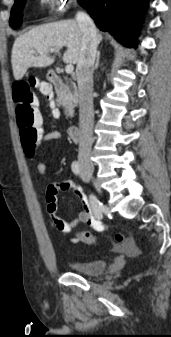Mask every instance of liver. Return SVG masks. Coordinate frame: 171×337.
I'll return each mask as SVG.
<instances>
[{
	"mask_svg": "<svg viewBox=\"0 0 171 337\" xmlns=\"http://www.w3.org/2000/svg\"><path fill=\"white\" fill-rule=\"evenodd\" d=\"M82 32L75 20H63L48 23L20 35L16 38L11 54L13 75L16 80L22 79L29 67L50 66L55 58L50 53H59L66 47L63 61L77 64L80 58ZM102 35L97 34V44Z\"/></svg>",
	"mask_w": 171,
	"mask_h": 337,
	"instance_id": "obj_1",
	"label": "liver"
}]
</instances>
